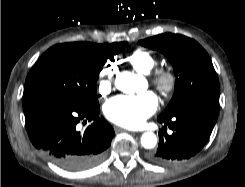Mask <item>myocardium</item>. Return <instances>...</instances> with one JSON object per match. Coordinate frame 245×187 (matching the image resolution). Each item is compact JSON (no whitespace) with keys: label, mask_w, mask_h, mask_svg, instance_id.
Masks as SVG:
<instances>
[{"label":"myocardium","mask_w":245,"mask_h":187,"mask_svg":"<svg viewBox=\"0 0 245 187\" xmlns=\"http://www.w3.org/2000/svg\"><path fill=\"white\" fill-rule=\"evenodd\" d=\"M150 80L154 88L164 97L171 96L177 87V76L171 69H157Z\"/></svg>","instance_id":"1"}]
</instances>
